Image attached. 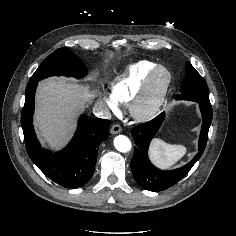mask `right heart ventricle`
Returning <instances> with one entry per match:
<instances>
[{
	"mask_svg": "<svg viewBox=\"0 0 236 236\" xmlns=\"http://www.w3.org/2000/svg\"><path fill=\"white\" fill-rule=\"evenodd\" d=\"M157 64L139 61L130 65L111 85V95L118 103H129L138 92L147 75Z\"/></svg>",
	"mask_w": 236,
	"mask_h": 236,
	"instance_id": "e07e8e85",
	"label": "right heart ventricle"
}]
</instances>
